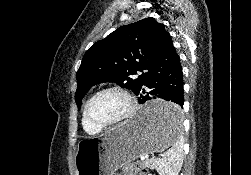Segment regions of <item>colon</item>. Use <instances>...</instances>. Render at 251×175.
I'll list each match as a JSON object with an SVG mask.
<instances>
[{
    "instance_id": "1",
    "label": "colon",
    "mask_w": 251,
    "mask_h": 175,
    "mask_svg": "<svg viewBox=\"0 0 251 175\" xmlns=\"http://www.w3.org/2000/svg\"><path fill=\"white\" fill-rule=\"evenodd\" d=\"M123 175H146V169L140 161H129L122 168Z\"/></svg>"
}]
</instances>
